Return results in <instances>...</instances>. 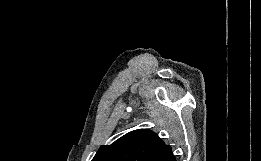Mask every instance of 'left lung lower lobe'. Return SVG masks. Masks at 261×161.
<instances>
[{
	"label": "left lung lower lobe",
	"instance_id": "obj_1",
	"mask_svg": "<svg viewBox=\"0 0 261 161\" xmlns=\"http://www.w3.org/2000/svg\"><path fill=\"white\" fill-rule=\"evenodd\" d=\"M154 161H176L172 151H171V147L168 146L164 151H162L156 158Z\"/></svg>",
	"mask_w": 261,
	"mask_h": 161
}]
</instances>
